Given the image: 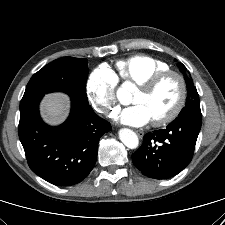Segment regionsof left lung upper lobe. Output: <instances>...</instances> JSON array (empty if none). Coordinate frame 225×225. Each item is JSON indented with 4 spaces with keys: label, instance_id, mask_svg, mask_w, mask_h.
<instances>
[{
    "label": "left lung upper lobe",
    "instance_id": "1",
    "mask_svg": "<svg viewBox=\"0 0 225 225\" xmlns=\"http://www.w3.org/2000/svg\"><path fill=\"white\" fill-rule=\"evenodd\" d=\"M179 68L183 71L184 65L179 64ZM187 84V102L177 118L183 117L188 114L198 113L201 114L199 95L196 87L190 79L185 78Z\"/></svg>",
    "mask_w": 225,
    "mask_h": 225
}]
</instances>
